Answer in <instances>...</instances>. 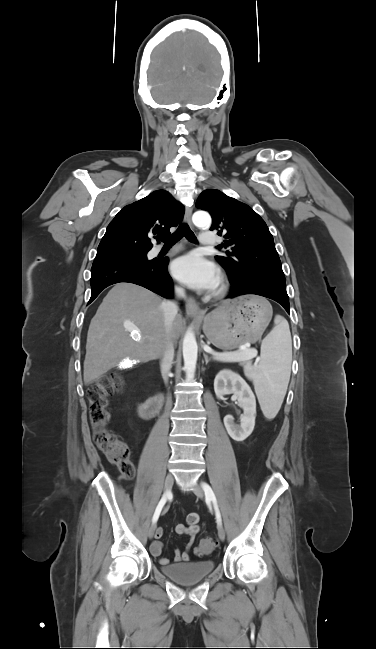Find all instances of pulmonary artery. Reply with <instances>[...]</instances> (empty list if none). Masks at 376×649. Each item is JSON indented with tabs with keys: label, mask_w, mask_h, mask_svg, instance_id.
<instances>
[{
	"label": "pulmonary artery",
	"mask_w": 376,
	"mask_h": 649,
	"mask_svg": "<svg viewBox=\"0 0 376 649\" xmlns=\"http://www.w3.org/2000/svg\"><path fill=\"white\" fill-rule=\"evenodd\" d=\"M218 243V239L210 232H203L200 236V244L203 247H211Z\"/></svg>",
	"instance_id": "e3ab8cb5"
}]
</instances>
